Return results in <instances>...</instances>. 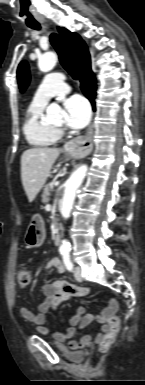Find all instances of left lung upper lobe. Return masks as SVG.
I'll return each instance as SVG.
<instances>
[{"label": "left lung upper lobe", "mask_w": 145, "mask_h": 385, "mask_svg": "<svg viewBox=\"0 0 145 385\" xmlns=\"http://www.w3.org/2000/svg\"><path fill=\"white\" fill-rule=\"evenodd\" d=\"M17 79L21 92H23L29 84L30 75L29 67L26 61H22L17 70Z\"/></svg>", "instance_id": "1"}]
</instances>
